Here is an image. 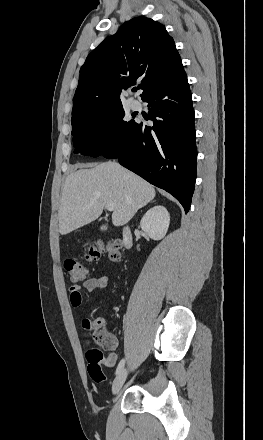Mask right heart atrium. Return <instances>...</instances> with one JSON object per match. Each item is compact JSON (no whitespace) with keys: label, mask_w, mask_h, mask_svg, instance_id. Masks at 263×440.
I'll return each mask as SVG.
<instances>
[{"label":"right heart atrium","mask_w":263,"mask_h":440,"mask_svg":"<svg viewBox=\"0 0 263 440\" xmlns=\"http://www.w3.org/2000/svg\"><path fill=\"white\" fill-rule=\"evenodd\" d=\"M112 130V124L109 121H105L101 125V133L103 135H109Z\"/></svg>","instance_id":"obj_1"}]
</instances>
